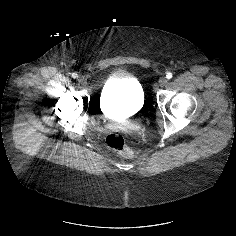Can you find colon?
I'll return each instance as SVG.
<instances>
[{"instance_id":"5ec220e1","label":"colon","mask_w":236,"mask_h":236,"mask_svg":"<svg viewBox=\"0 0 236 236\" xmlns=\"http://www.w3.org/2000/svg\"><path fill=\"white\" fill-rule=\"evenodd\" d=\"M106 144L111 150L116 153H119L126 157L133 156V150L127 146L125 138L120 133H110L106 137Z\"/></svg>"}]
</instances>
